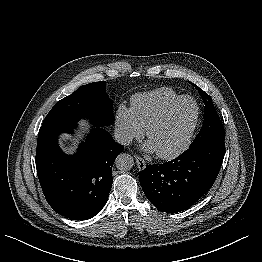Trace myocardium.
Instances as JSON below:
<instances>
[{
    "label": "myocardium",
    "mask_w": 262,
    "mask_h": 262,
    "mask_svg": "<svg viewBox=\"0 0 262 262\" xmlns=\"http://www.w3.org/2000/svg\"><path fill=\"white\" fill-rule=\"evenodd\" d=\"M186 100L192 101L194 103L195 107H196V113H195L193 122H192L183 142L177 148H175L174 150H172L170 152H157L158 157H160L161 159H165V160L174 159V158L178 157L179 155H181L191 144L195 130H196L198 122H199V118H200V106H199L198 102L191 96H182L181 98L177 99L176 101H174L173 103L168 105L150 123V125L146 129V136H147L148 139H150L152 132L156 128L161 126L166 121V119L169 117V115L173 112V110L176 109L182 102H184Z\"/></svg>",
    "instance_id": "f54148a6"
}]
</instances>
